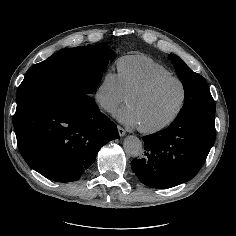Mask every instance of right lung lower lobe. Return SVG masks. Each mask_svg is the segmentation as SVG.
<instances>
[{
  "label": "right lung lower lobe",
  "mask_w": 236,
  "mask_h": 236,
  "mask_svg": "<svg viewBox=\"0 0 236 236\" xmlns=\"http://www.w3.org/2000/svg\"><path fill=\"white\" fill-rule=\"evenodd\" d=\"M14 130L27 164L58 182L79 179L99 149L119 138L116 125L99 111L94 99L73 91L17 107Z\"/></svg>",
  "instance_id": "right-lung-lower-lobe-1"
}]
</instances>
